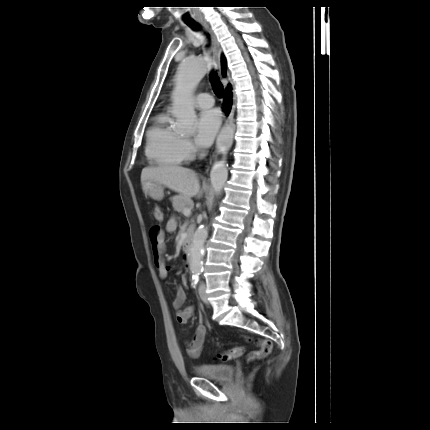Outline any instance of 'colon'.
<instances>
[{
    "label": "colon",
    "instance_id": "colon-1",
    "mask_svg": "<svg viewBox=\"0 0 430 430\" xmlns=\"http://www.w3.org/2000/svg\"><path fill=\"white\" fill-rule=\"evenodd\" d=\"M153 216L157 221L163 219L162 210L159 207H154L152 210ZM272 348V343L270 340L262 339L257 342V350L252 353L253 358H263L267 356ZM244 350L242 347L236 346L229 350L223 351L217 355V358L222 361H229L240 357Z\"/></svg>",
    "mask_w": 430,
    "mask_h": 430
}]
</instances>
